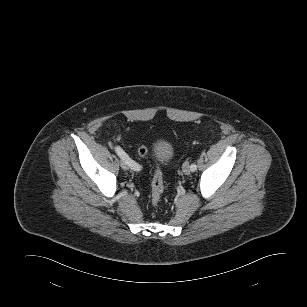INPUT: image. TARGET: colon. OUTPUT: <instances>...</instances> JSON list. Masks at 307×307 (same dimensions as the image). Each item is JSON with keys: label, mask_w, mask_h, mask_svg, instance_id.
<instances>
[{"label": "colon", "mask_w": 307, "mask_h": 307, "mask_svg": "<svg viewBox=\"0 0 307 307\" xmlns=\"http://www.w3.org/2000/svg\"><path fill=\"white\" fill-rule=\"evenodd\" d=\"M148 153L145 147L140 148L139 156L144 157ZM164 191V181L160 169H156L151 182V201L153 205H158Z\"/></svg>", "instance_id": "1"}]
</instances>
